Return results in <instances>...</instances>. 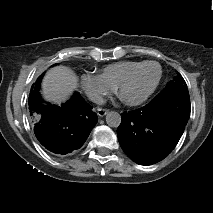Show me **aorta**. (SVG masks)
<instances>
[{"mask_svg": "<svg viewBox=\"0 0 213 213\" xmlns=\"http://www.w3.org/2000/svg\"><path fill=\"white\" fill-rule=\"evenodd\" d=\"M121 115L116 111H109L106 114V123L109 127L117 128L121 124Z\"/></svg>", "mask_w": 213, "mask_h": 213, "instance_id": "1", "label": "aorta"}]
</instances>
